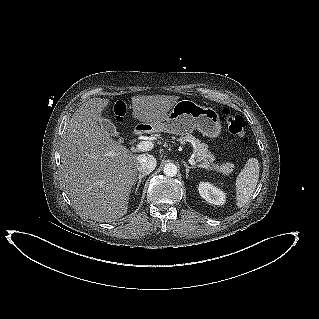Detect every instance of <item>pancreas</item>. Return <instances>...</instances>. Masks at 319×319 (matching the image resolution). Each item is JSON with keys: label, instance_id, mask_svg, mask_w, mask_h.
I'll list each match as a JSON object with an SVG mask.
<instances>
[{"label": "pancreas", "instance_id": "1", "mask_svg": "<svg viewBox=\"0 0 319 319\" xmlns=\"http://www.w3.org/2000/svg\"><path fill=\"white\" fill-rule=\"evenodd\" d=\"M178 140L181 144L189 142L195 146V159L199 163L200 167H203L207 170L220 172L224 176H229V174L232 173L234 164L230 162L222 164L215 163V156L208 150V145L205 143H201L199 139L188 134L185 137H181Z\"/></svg>", "mask_w": 319, "mask_h": 319}]
</instances>
